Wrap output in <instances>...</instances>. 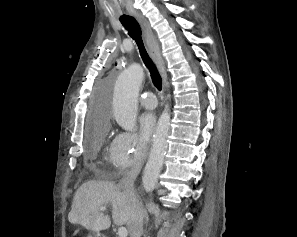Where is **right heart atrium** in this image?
<instances>
[{
	"label": "right heart atrium",
	"instance_id": "1",
	"mask_svg": "<svg viewBox=\"0 0 297 237\" xmlns=\"http://www.w3.org/2000/svg\"><path fill=\"white\" fill-rule=\"evenodd\" d=\"M147 144L137 134L119 132L110 146V159L120 171L140 165L147 154Z\"/></svg>",
	"mask_w": 297,
	"mask_h": 237
}]
</instances>
